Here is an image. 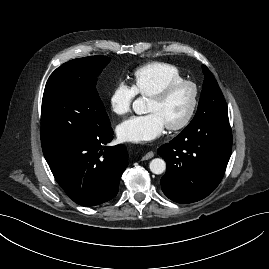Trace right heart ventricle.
Masks as SVG:
<instances>
[{
  "label": "right heart ventricle",
  "mask_w": 269,
  "mask_h": 269,
  "mask_svg": "<svg viewBox=\"0 0 269 269\" xmlns=\"http://www.w3.org/2000/svg\"><path fill=\"white\" fill-rule=\"evenodd\" d=\"M178 68L169 63L151 62L134 70L132 74V87L136 94L150 96L166 84L182 80Z\"/></svg>",
  "instance_id": "e07e8e85"
}]
</instances>
